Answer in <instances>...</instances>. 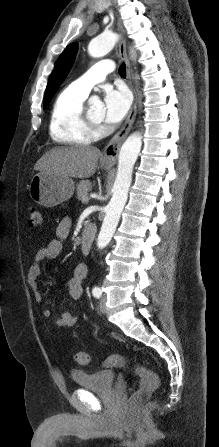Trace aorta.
Masks as SVG:
<instances>
[{"label": "aorta", "mask_w": 219, "mask_h": 447, "mask_svg": "<svg viewBox=\"0 0 219 447\" xmlns=\"http://www.w3.org/2000/svg\"><path fill=\"white\" fill-rule=\"evenodd\" d=\"M117 40V34L111 31L103 32L90 41L88 53L94 58L103 57L113 49ZM141 146L142 136L139 132H135L125 140L120 149L113 195L106 206L105 217L97 240L99 249L108 245L116 230L121 213L127 202L129 187L132 182L133 167L140 153Z\"/></svg>", "instance_id": "1"}]
</instances>
